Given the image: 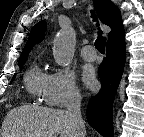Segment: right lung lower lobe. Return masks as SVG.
<instances>
[{
	"mask_svg": "<svg viewBox=\"0 0 144 137\" xmlns=\"http://www.w3.org/2000/svg\"><path fill=\"white\" fill-rule=\"evenodd\" d=\"M106 52L107 55L99 66L101 90L89 101L87 120L104 137H112V105L126 59L124 39L107 45Z\"/></svg>",
	"mask_w": 144,
	"mask_h": 137,
	"instance_id": "obj_1",
	"label": "right lung lower lobe"
}]
</instances>
